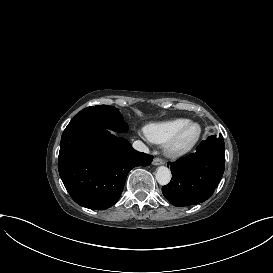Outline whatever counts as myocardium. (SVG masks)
I'll list each match as a JSON object with an SVG mask.
<instances>
[{"label":"myocardium","instance_id":"1","mask_svg":"<svg viewBox=\"0 0 273 273\" xmlns=\"http://www.w3.org/2000/svg\"><path fill=\"white\" fill-rule=\"evenodd\" d=\"M196 128L191 137H187L190 129ZM204 131L203 125L198 121H189L167 143L166 152L172 157H180L190 152L200 140Z\"/></svg>","mask_w":273,"mask_h":273}]
</instances>
